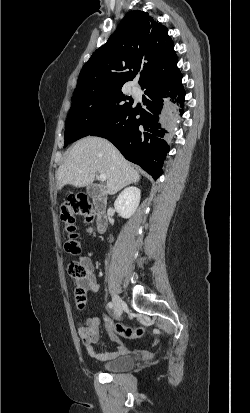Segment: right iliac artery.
<instances>
[{"instance_id":"1","label":"right iliac artery","mask_w":250,"mask_h":413,"mask_svg":"<svg viewBox=\"0 0 250 413\" xmlns=\"http://www.w3.org/2000/svg\"><path fill=\"white\" fill-rule=\"evenodd\" d=\"M107 306H108L109 309H112V308H113V303H112V302H109V303L107 304Z\"/></svg>"}]
</instances>
